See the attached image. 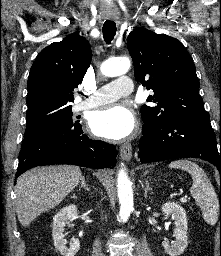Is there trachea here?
<instances>
[{"label":"trachea","instance_id":"trachea-1","mask_svg":"<svg viewBox=\"0 0 221 256\" xmlns=\"http://www.w3.org/2000/svg\"><path fill=\"white\" fill-rule=\"evenodd\" d=\"M103 38L106 43H111L116 34V24L113 21H106L103 25Z\"/></svg>","mask_w":221,"mask_h":256}]
</instances>
